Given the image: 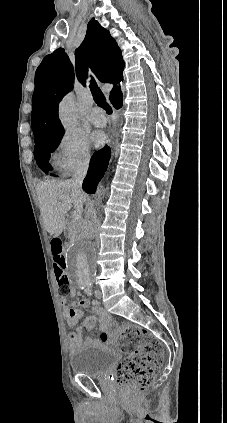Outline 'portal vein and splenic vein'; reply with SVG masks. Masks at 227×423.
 <instances>
[{
    "instance_id": "portal-vein-and-splenic-vein-1",
    "label": "portal vein and splenic vein",
    "mask_w": 227,
    "mask_h": 423,
    "mask_svg": "<svg viewBox=\"0 0 227 423\" xmlns=\"http://www.w3.org/2000/svg\"><path fill=\"white\" fill-rule=\"evenodd\" d=\"M72 217H73V219H78V217H81V211L73 210L72 211Z\"/></svg>"
}]
</instances>
